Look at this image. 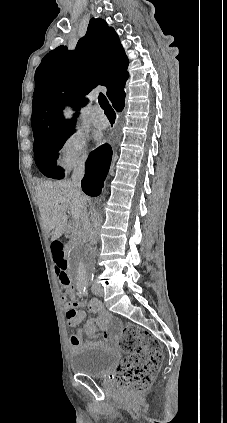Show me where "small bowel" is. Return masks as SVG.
<instances>
[{"label":"small bowel","mask_w":227,"mask_h":423,"mask_svg":"<svg viewBox=\"0 0 227 423\" xmlns=\"http://www.w3.org/2000/svg\"><path fill=\"white\" fill-rule=\"evenodd\" d=\"M67 297L69 301H67ZM61 301L64 303V313L69 326L75 327L86 319V313L82 308L87 306V302L76 298V289L73 284L70 283L66 295L61 297ZM88 308L90 312L97 315L95 318L85 320L83 330L89 338L94 337L97 328L106 330L111 323H115L113 316L103 308L99 301L92 300L88 304ZM69 342L71 348L76 350L82 344V330L78 329L72 334Z\"/></svg>","instance_id":"obj_1"}]
</instances>
